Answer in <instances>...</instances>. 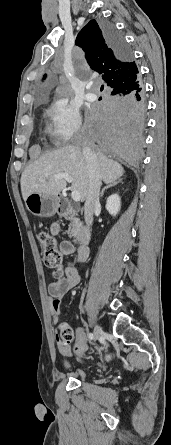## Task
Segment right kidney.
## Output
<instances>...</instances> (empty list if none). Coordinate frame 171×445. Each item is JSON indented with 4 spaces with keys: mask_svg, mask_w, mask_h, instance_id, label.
Returning a JSON list of instances; mask_svg holds the SVG:
<instances>
[{
    "mask_svg": "<svg viewBox=\"0 0 171 445\" xmlns=\"http://www.w3.org/2000/svg\"><path fill=\"white\" fill-rule=\"evenodd\" d=\"M121 202L118 194H112L107 198L106 201V210L110 215L116 216L120 211Z\"/></svg>",
    "mask_w": 171,
    "mask_h": 445,
    "instance_id": "obj_1",
    "label": "right kidney"
}]
</instances>
